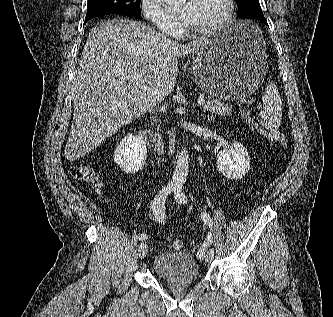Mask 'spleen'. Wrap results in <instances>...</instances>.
<instances>
[{
    "label": "spleen",
    "mask_w": 333,
    "mask_h": 317,
    "mask_svg": "<svg viewBox=\"0 0 333 317\" xmlns=\"http://www.w3.org/2000/svg\"><path fill=\"white\" fill-rule=\"evenodd\" d=\"M262 101L264 109L258 114V121L266 129L275 132L282 120V102L275 83H268Z\"/></svg>",
    "instance_id": "1"
}]
</instances>
